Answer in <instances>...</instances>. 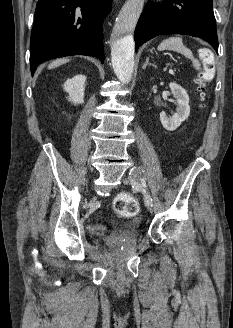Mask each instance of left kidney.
Returning <instances> with one entry per match:
<instances>
[{"mask_svg": "<svg viewBox=\"0 0 233 328\" xmlns=\"http://www.w3.org/2000/svg\"><path fill=\"white\" fill-rule=\"evenodd\" d=\"M169 87L176 99L177 109L172 117H167L163 111L160 113V121L163 127L168 131L176 130L190 114L189 96L186 90L176 83H170Z\"/></svg>", "mask_w": 233, "mask_h": 328, "instance_id": "left-kidney-1", "label": "left kidney"}]
</instances>
